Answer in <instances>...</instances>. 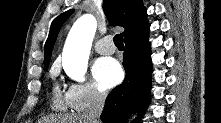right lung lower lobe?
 Listing matches in <instances>:
<instances>
[{
    "mask_svg": "<svg viewBox=\"0 0 221 123\" xmlns=\"http://www.w3.org/2000/svg\"><path fill=\"white\" fill-rule=\"evenodd\" d=\"M125 45L123 66L126 76L123 83L115 87L106 98L101 114L103 123H125L129 115L138 108L139 118L150 101L152 63L148 33L125 41Z\"/></svg>",
    "mask_w": 221,
    "mask_h": 123,
    "instance_id": "98d812e1",
    "label": "right lung lower lobe"
}]
</instances>
